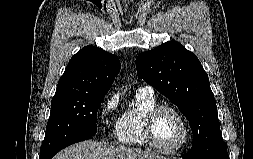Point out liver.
<instances>
[{"label": "liver", "mask_w": 253, "mask_h": 159, "mask_svg": "<svg viewBox=\"0 0 253 159\" xmlns=\"http://www.w3.org/2000/svg\"><path fill=\"white\" fill-rule=\"evenodd\" d=\"M52 159H167L150 150L109 146L102 142L86 140L73 144Z\"/></svg>", "instance_id": "1"}]
</instances>
